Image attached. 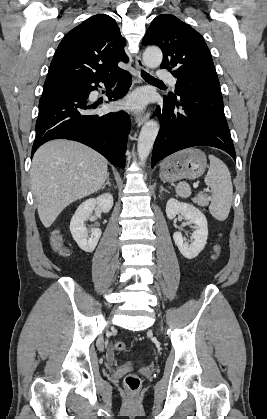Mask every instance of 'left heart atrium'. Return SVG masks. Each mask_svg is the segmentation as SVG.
Returning <instances> with one entry per match:
<instances>
[{"label":"left heart atrium","mask_w":267,"mask_h":419,"mask_svg":"<svg viewBox=\"0 0 267 419\" xmlns=\"http://www.w3.org/2000/svg\"><path fill=\"white\" fill-rule=\"evenodd\" d=\"M146 95L142 92H137L128 97L123 105L131 109H140L146 104Z\"/></svg>","instance_id":"1"}]
</instances>
